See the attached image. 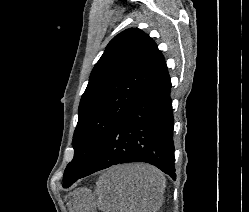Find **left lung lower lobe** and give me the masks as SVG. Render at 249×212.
I'll return each mask as SVG.
<instances>
[{
    "mask_svg": "<svg viewBox=\"0 0 249 212\" xmlns=\"http://www.w3.org/2000/svg\"><path fill=\"white\" fill-rule=\"evenodd\" d=\"M170 89L164 62L120 116L95 160L80 178L120 163L146 162L175 180Z\"/></svg>",
    "mask_w": 249,
    "mask_h": 212,
    "instance_id": "0a47b994",
    "label": "left lung lower lobe"
}]
</instances>
